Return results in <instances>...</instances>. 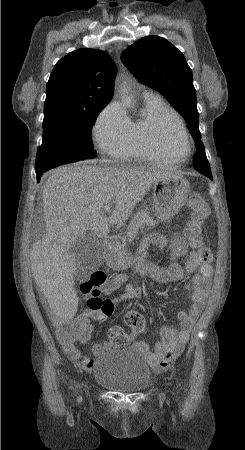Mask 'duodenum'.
I'll return each instance as SVG.
<instances>
[{"mask_svg":"<svg viewBox=\"0 0 245 450\" xmlns=\"http://www.w3.org/2000/svg\"><path fill=\"white\" fill-rule=\"evenodd\" d=\"M105 241L110 248V256L108 258V261L113 262L115 260L114 258L115 254L119 251V249L123 245V240L121 237L118 236H109L105 238Z\"/></svg>","mask_w":245,"mask_h":450,"instance_id":"1","label":"duodenum"}]
</instances>
